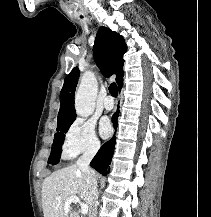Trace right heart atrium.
<instances>
[{"label":"right heart atrium","instance_id":"d8ad5b80","mask_svg":"<svg viewBox=\"0 0 211 217\" xmlns=\"http://www.w3.org/2000/svg\"><path fill=\"white\" fill-rule=\"evenodd\" d=\"M100 148L94 124L86 119H76L65 134L63 150L69 158L80 154H94Z\"/></svg>","mask_w":211,"mask_h":217}]
</instances>
